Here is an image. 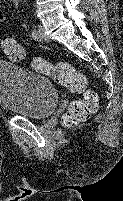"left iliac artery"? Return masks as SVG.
Instances as JSON below:
<instances>
[{"instance_id":"44dca946","label":"left iliac artery","mask_w":123,"mask_h":201,"mask_svg":"<svg viewBox=\"0 0 123 201\" xmlns=\"http://www.w3.org/2000/svg\"><path fill=\"white\" fill-rule=\"evenodd\" d=\"M16 5H18V3H16ZM32 37H33L34 39H37V37H38V32H37V30H33V31H32Z\"/></svg>"}]
</instances>
